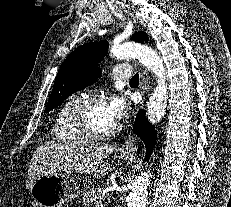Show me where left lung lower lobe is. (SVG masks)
Segmentation results:
<instances>
[{
  "label": "left lung lower lobe",
  "instance_id": "1",
  "mask_svg": "<svg viewBox=\"0 0 231 207\" xmlns=\"http://www.w3.org/2000/svg\"><path fill=\"white\" fill-rule=\"evenodd\" d=\"M133 131L144 141L147 150L145 159L148 160L155 145L157 134L154 126L146 119L144 110H140L137 114Z\"/></svg>",
  "mask_w": 231,
  "mask_h": 207
}]
</instances>
